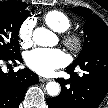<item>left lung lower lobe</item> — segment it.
Instances as JSON below:
<instances>
[{"mask_svg": "<svg viewBox=\"0 0 108 108\" xmlns=\"http://www.w3.org/2000/svg\"><path fill=\"white\" fill-rule=\"evenodd\" d=\"M77 66L69 65L66 72L71 75L69 80L57 79L61 85V93L47 100L49 108H97L108 91V64H82V76L74 72ZM76 90V99L69 100L67 93Z\"/></svg>", "mask_w": 108, "mask_h": 108, "instance_id": "0a47b994", "label": "left lung lower lobe"}]
</instances>
